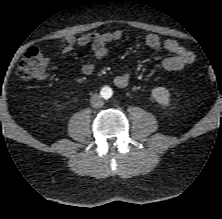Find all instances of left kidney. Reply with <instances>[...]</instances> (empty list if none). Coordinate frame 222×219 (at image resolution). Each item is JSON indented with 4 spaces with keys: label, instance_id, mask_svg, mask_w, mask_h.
Listing matches in <instances>:
<instances>
[{
    "label": "left kidney",
    "instance_id": "1",
    "mask_svg": "<svg viewBox=\"0 0 222 219\" xmlns=\"http://www.w3.org/2000/svg\"><path fill=\"white\" fill-rule=\"evenodd\" d=\"M152 97L163 106L170 105V93L165 87H156L151 92Z\"/></svg>",
    "mask_w": 222,
    "mask_h": 219
}]
</instances>
